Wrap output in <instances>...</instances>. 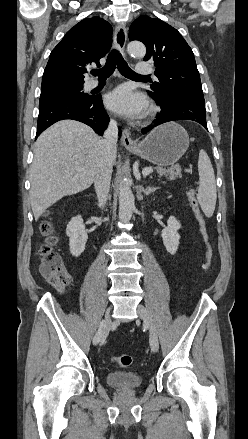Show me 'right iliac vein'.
I'll use <instances>...</instances> for the list:
<instances>
[{
    "label": "right iliac vein",
    "mask_w": 248,
    "mask_h": 439,
    "mask_svg": "<svg viewBox=\"0 0 248 439\" xmlns=\"http://www.w3.org/2000/svg\"><path fill=\"white\" fill-rule=\"evenodd\" d=\"M101 322H103L105 326L103 327L102 335L97 342V343H100V345L103 344V342L105 341V339L108 335L109 329H110V325H111L110 309L107 310L105 317Z\"/></svg>",
    "instance_id": "right-iliac-vein-1"
}]
</instances>
